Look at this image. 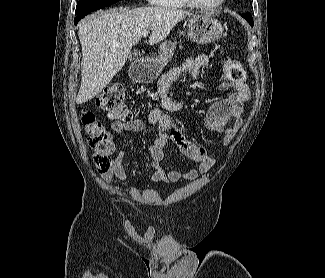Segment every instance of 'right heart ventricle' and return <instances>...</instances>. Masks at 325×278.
<instances>
[{"mask_svg": "<svg viewBox=\"0 0 325 278\" xmlns=\"http://www.w3.org/2000/svg\"><path fill=\"white\" fill-rule=\"evenodd\" d=\"M152 3L159 7L172 9H183L188 7L184 0H153Z\"/></svg>", "mask_w": 325, "mask_h": 278, "instance_id": "obj_1", "label": "right heart ventricle"}]
</instances>
